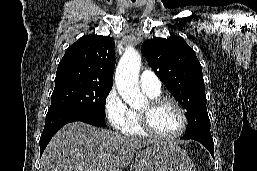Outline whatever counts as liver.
Returning <instances> with one entry per match:
<instances>
[{"mask_svg": "<svg viewBox=\"0 0 257 171\" xmlns=\"http://www.w3.org/2000/svg\"><path fill=\"white\" fill-rule=\"evenodd\" d=\"M152 143L72 122L49 142L41 158L42 171H125L134 152Z\"/></svg>", "mask_w": 257, "mask_h": 171, "instance_id": "1", "label": "liver"}]
</instances>
